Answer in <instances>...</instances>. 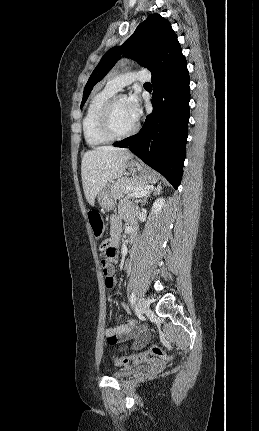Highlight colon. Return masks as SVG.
Wrapping results in <instances>:
<instances>
[{"mask_svg":"<svg viewBox=\"0 0 259 431\" xmlns=\"http://www.w3.org/2000/svg\"><path fill=\"white\" fill-rule=\"evenodd\" d=\"M89 223L93 234L96 239H101L104 234V220L102 215L98 211H90L88 213ZM99 250L101 253L102 266H110L111 263L116 259L117 250L114 245L109 242L108 239H103L99 243ZM119 340L118 335L115 332L107 334V341L109 344H116ZM149 357L157 358H168V353L157 345L150 346L147 350L132 356H115L114 361L118 366L126 367L133 364L143 362Z\"/></svg>","mask_w":259,"mask_h":431,"instance_id":"5ec220e1","label":"colon"}]
</instances>
